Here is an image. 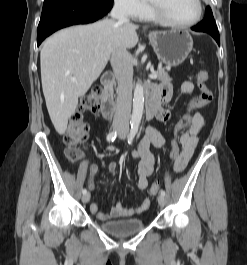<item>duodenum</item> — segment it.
Instances as JSON below:
<instances>
[{
  "label": "duodenum",
  "mask_w": 247,
  "mask_h": 265,
  "mask_svg": "<svg viewBox=\"0 0 247 265\" xmlns=\"http://www.w3.org/2000/svg\"><path fill=\"white\" fill-rule=\"evenodd\" d=\"M115 77L111 72H105L101 83L103 88V97L101 110L105 118H111L115 112V102L113 97ZM157 90L148 87L146 90V117L152 119L155 116V107L157 103Z\"/></svg>",
  "instance_id": "410a0bca"
}]
</instances>
